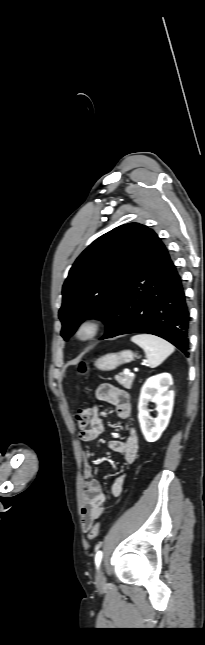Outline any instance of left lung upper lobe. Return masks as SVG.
I'll use <instances>...</instances> for the list:
<instances>
[{"instance_id":"1","label":"left lung upper lobe","mask_w":205,"mask_h":645,"mask_svg":"<svg viewBox=\"0 0 205 645\" xmlns=\"http://www.w3.org/2000/svg\"><path fill=\"white\" fill-rule=\"evenodd\" d=\"M148 227L129 223L96 239L77 258L63 285L61 335L68 339L87 318L106 324L108 338L118 327L127 279Z\"/></svg>"}]
</instances>
